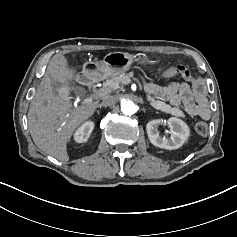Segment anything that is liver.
I'll return each mask as SVG.
<instances>
[{
    "label": "liver",
    "mask_w": 237,
    "mask_h": 237,
    "mask_svg": "<svg viewBox=\"0 0 237 237\" xmlns=\"http://www.w3.org/2000/svg\"><path fill=\"white\" fill-rule=\"evenodd\" d=\"M50 64L51 77L45 76L43 81L48 83L45 92L31 101L28 125L32 139L41 151L67 162V142L75 129L92 116L97 103L71 108L69 102L53 96L49 90L52 79L63 83L73 78V71L66 67L63 56L54 57Z\"/></svg>",
    "instance_id": "obj_1"
}]
</instances>
